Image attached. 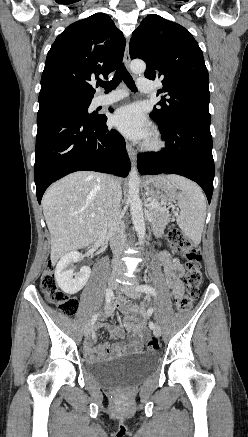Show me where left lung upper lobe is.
I'll use <instances>...</instances> for the list:
<instances>
[{"instance_id": "obj_1", "label": "left lung upper lobe", "mask_w": 248, "mask_h": 437, "mask_svg": "<svg viewBox=\"0 0 248 437\" xmlns=\"http://www.w3.org/2000/svg\"><path fill=\"white\" fill-rule=\"evenodd\" d=\"M130 57L146 62L144 73L160 79L165 93L152 116L162 127L178 115L209 114V77L203 53L192 34L181 25L151 14L140 23L130 40ZM167 97V98H165Z\"/></svg>"}]
</instances>
